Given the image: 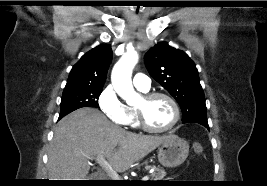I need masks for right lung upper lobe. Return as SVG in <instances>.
Returning a JSON list of instances; mask_svg holds the SVG:
<instances>
[{
  "label": "right lung upper lobe",
  "instance_id": "cb5924a9",
  "mask_svg": "<svg viewBox=\"0 0 267 186\" xmlns=\"http://www.w3.org/2000/svg\"><path fill=\"white\" fill-rule=\"evenodd\" d=\"M111 61L110 45L101 44L90 50L73 66L65 89L103 88Z\"/></svg>",
  "mask_w": 267,
  "mask_h": 186
}]
</instances>
